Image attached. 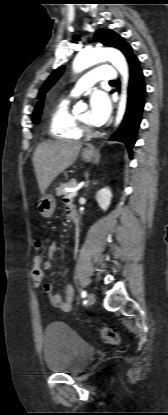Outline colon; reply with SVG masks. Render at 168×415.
Segmentation results:
<instances>
[{"label": "colon", "instance_id": "5ec220e1", "mask_svg": "<svg viewBox=\"0 0 168 415\" xmlns=\"http://www.w3.org/2000/svg\"><path fill=\"white\" fill-rule=\"evenodd\" d=\"M36 247L40 248V242L36 241ZM46 257L44 252H38L36 258L34 259L33 267H32V275L30 277V282L32 284L33 290H39L40 286L42 285V281L44 279L45 273V265ZM102 337L111 344H118L120 341L118 332L116 329L112 327H103L101 329Z\"/></svg>", "mask_w": 168, "mask_h": 415}]
</instances>
